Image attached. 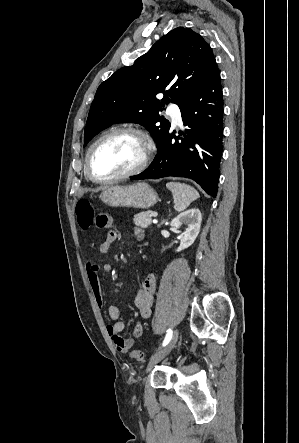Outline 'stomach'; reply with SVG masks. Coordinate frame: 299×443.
I'll list each match as a JSON object with an SVG mask.
<instances>
[{"instance_id": "obj_1", "label": "stomach", "mask_w": 299, "mask_h": 443, "mask_svg": "<svg viewBox=\"0 0 299 443\" xmlns=\"http://www.w3.org/2000/svg\"><path fill=\"white\" fill-rule=\"evenodd\" d=\"M101 201L111 207H134L147 209L158 200L156 191L145 182L122 186L112 185L103 190Z\"/></svg>"}]
</instances>
